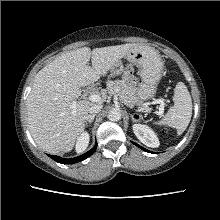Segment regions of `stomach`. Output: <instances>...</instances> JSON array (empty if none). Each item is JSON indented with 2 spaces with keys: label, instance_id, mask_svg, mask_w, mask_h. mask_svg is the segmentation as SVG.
<instances>
[{
  "label": "stomach",
  "instance_id": "1",
  "mask_svg": "<svg viewBox=\"0 0 220 220\" xmlns=\"http://www.w3.org/2000/svg\"><path fill=\"white\" fill-rule=\"evenodd\" d=\"M130 65L139 69V75L142 83L137 92V101L142 103L152 98L157 90V85L162 78L163 61L160 54L155 49L148 46H136L132 48L125 56ZM126 76L125 68L122 62H118L111 70V77L121 75Z\"/></svg>",
  "mask_w": 220,
  "mask_h": 220
}]
</instances>
